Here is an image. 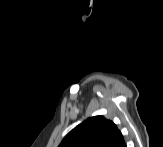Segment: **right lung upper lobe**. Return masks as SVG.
Returning <instances> with one entry per match:
<instances>
[{"mask_svg": "<svg viewBox=\"0 0 163 147\" xmlns=\"http://www.w3.org/2000/svg\"><path fill=\"white\" fill-rule=\"evenodd\" d=\"M121 140L123 135L112 121L94 116L70 131L59 147H115Z\"/></svg>", "mask_w": 163, "mask_h": 147, "instance_id": "cb5924a9", "label": "right lung upper lobe"}]
</instances>
